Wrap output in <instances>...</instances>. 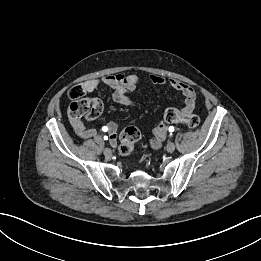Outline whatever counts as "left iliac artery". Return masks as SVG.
<instances>
[{"label":"left iliac artery","instance_id":"1","mask_svg":"<svg viewBox=\"0 0 261 261\" xmlns=\"http://www.w3.org/2000/svg\"><path fill=\"white\" fill-rule=\"evenodd\" d=\"M174 131V127L173 126H170L169 127V132H173Z\"/></svg>","mask_w":261,"mask_h":261}]
</instances>
